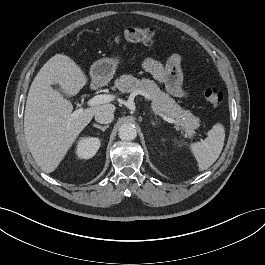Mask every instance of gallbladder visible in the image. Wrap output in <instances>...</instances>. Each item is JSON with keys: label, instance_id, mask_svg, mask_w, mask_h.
<instances>
[{"label": "gallbladder", "instance_id": "bac80fb5", "mask_svg": "<svg viewBox=\"0 0 265 265\" xmlns=\"http://www.w3.org/2000/svg\"><path fill=\"white\" fill-rule=\"evenodd\" d=\"M57 87H59V86L57 85ZM58 90L61 91V92H63L61 88H58Z\"/></svg>", "mask_w": 265, "mask_h": 265}]
</instances>
